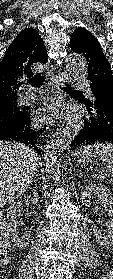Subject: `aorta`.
Segmentation results:
<instances>
[{
  "instance_id": "762f6f07",
  "label": "aorta",
  "mask_w": 113,
  "mask_h": 279,
  "mask_svg": "<svg viewBox=\"0 0 113 279\" xmlns=\"http://www.w3.org/2000/svg\"><path fill=\"white\" fill-rule=\"evenodd\" d=\"M66 69L75 77L86 79L87 62L79 54L72 53L66 57ZM84 126V120L81 115H74L69 122L60 129L45 151V170L54 180L60 178L59 154L67 148L71 142L78 136Z\"/></svg>"
}]
</instances>
